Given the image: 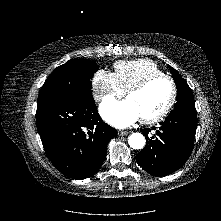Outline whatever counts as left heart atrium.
Instances as JSON below:
<instances>
[{"instance_id": "1", "label": "left heart atrium", "mask_w": 221, "mask_h": 221, "mask_svg": "<svg viewBox=\"0 0 221 221\" xmlns=\"http://www.w3.org/2000/svg\"><path fill=\"white\" fill-rule=\"evenodd\" d=\"M100 113L108 123L118 128L128 127L140 119L138 110L128 99L106 100L100 107Z\"/></svg>"}]
</instances>
